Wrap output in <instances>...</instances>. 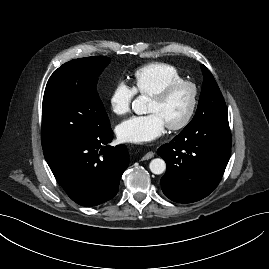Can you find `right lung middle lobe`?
I'll list each match as a JSON object with an SVG mask.
<instances>
[{"label": "right lung middle lobe", "mask_w": 269, "mask_h": 269, "mask_svg": "<svg viewBox=\"0 0 269 269\" xmlns=\"http://www.w3.org/2000/svg\"><path fill=\"white\" fill-rule=\"evenodd\" d=\"M110 58L74 59L49 78L42 104V148L51 150L87 139L110 127L96 90Z\"/></svg>", "instance_id": "right-lung-middle-lobe-1"}]
</instances>
